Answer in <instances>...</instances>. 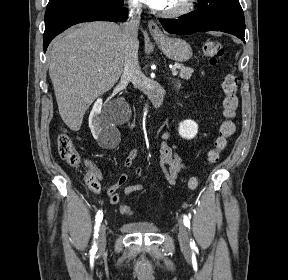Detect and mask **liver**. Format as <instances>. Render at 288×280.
I'll use <instances>...</instances> for the list:
<instances>
[{"mask_svg":"<svg viewBox=\"0 0 288 280\" xmlns=\"http://www.w3.org/2000/svg\"><path fill=\"white\" fill-rule=\"evenodd\" d=\"M49 52V75L59 114L71 130L78 131L89 106L121 76L123 26L101 21L80 24L55 39Z\"/></svg>","mask_w":288,"mask_h":280,"instance_id":"6515ba94","label":"liver"}]
</instances>
